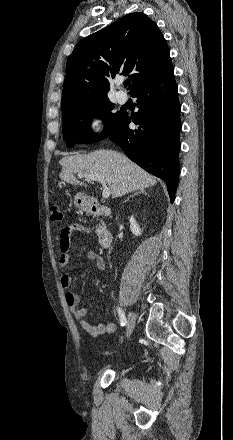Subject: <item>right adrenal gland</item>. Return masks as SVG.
I'll list each match as a JSON object with an SVG mask.
<instances>
[{
  "mask_svg": "<svg viewBox=\"0 0 233 440\" xmlns=\"http://www.w3.org/2000/svg\"><path fill=\"white\" fill-rule=\"evenodd\" d=\"M141 193L145 194V195L147 194L144 189H140L138 192H136L133 195H131L130 197H128L123 203H126L127 201H129L130 198L134 197L135 195L141 194Z\"/></svg>",
  "mask_w": 233,
  "mask_h": 440,
  "instance_id": "2a0ac1e0",
  "label": "right adrenal gland"
}]
</instances>
